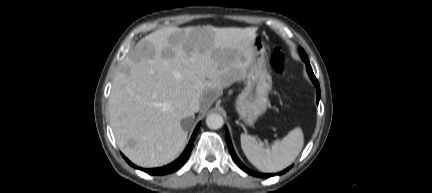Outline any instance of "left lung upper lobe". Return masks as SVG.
Listing matches in <instances>:
<instances>
[{
	"label": "left lung upper lobe",
	"instance_id": "5c2ea615",
	"mask_svg": "<svg viewBox=\"0 0 432 193\" xmlns=\"http://www.w3.org/2000/svg\"><path fill=\"white\" fill-rule=\"evenodd\" d=\"M299 53H300L301 56H306L307 57L306 53L304 52V50L302 48H299Z\"/></svg>",
	"mask_w": 432,
	"mask_h": 193
}]
</instances>
